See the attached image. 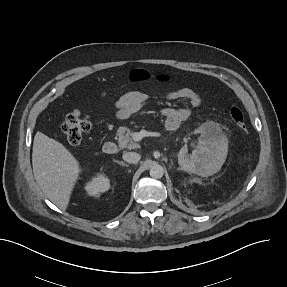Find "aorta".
<instances>
[{"label":"aorta","mask_w":287,"mask_h":287,"mask_svg":"<svg viewBox=\"0 0 287 287\" xmlns=\"http://www.w3.org/2000/svg\"><path fill=\"white\" fill-rule=\"evenodd\" d=\"M150 176L154 179H160L163 177L164 175V169L161 165H153L151 168H150Z\"/></svg>","instance_id":"aorta-1"}]
</instances>
